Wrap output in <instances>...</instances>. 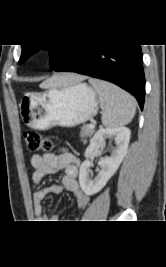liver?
Returning a JSON list of instances; mask_svg holds the SVG:
<instances>
[{
	"instance_id": "6515ba94",
	"label": "liver",
	"mask_w": 166,
	"mask_h": 267,
	"mask_svg": "<svg viewBox=\"0 0 166 267\" xmlns=\"http://www.w3.org/2000/svg\"><path fill=\"white\" fill-rule=\"evenodd\" d=\"M84 79L85 77L78 75V74H73V73L57 75V76H53L47 79L45 82L41 84V87L50 88V87H58V86H69V85L80 83Z\"/></svg>"
}]
</instances>
